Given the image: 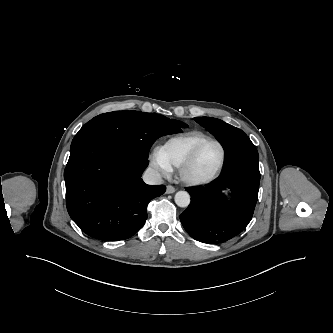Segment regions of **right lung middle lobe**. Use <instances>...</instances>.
<instances>
[{"label":"right lung middle lobe","mask_w":333,"mask_h":333,"mask_svg":"<svg viewBox=\"0 0 333 333\" xmlns=\"http://www.w3.org/2000/svg\"><path fill=\"white\" fill-rule=\"evenodd\" d=\"M187 125L156 113L114 111L94 117L74 137L72 144L88 139L106 140L142 159H148L149 149L163 135L181 132Z\"/></svg>","instance_id":"right-lung-middle-lobe-1"}]
</instances>
